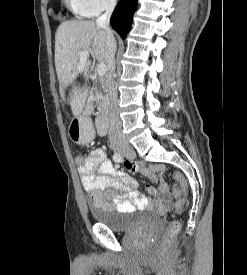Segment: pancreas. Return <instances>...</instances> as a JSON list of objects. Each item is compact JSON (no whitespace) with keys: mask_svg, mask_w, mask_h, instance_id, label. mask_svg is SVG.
<instances>
[{"mask_svg":"<svg viewBox=\"0 0 247 275\" xmlns=\"http://www.w3.org/2000/svg\"><path fill=\"white\" fill-rule=\"evenodd\" d=\"M93 100L97 103L98 105L97 109L100 113H104L107 110V107H108L107 95L95 89V95L93 97Z\"/></svg>","mask_w":247,"mask_h":275,"instance_id":"1","label":"pancreas"}]
</instances>
